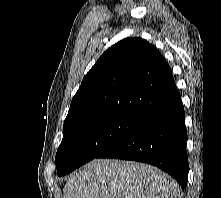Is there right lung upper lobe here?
Returning a JSON list of instances; mask_svg holds the SVG:
<instances>
[{
	"label": "right lung upper lobe",
	"mask_w": 221,
	"mask_h": 198,
	"mask_svg": "<svg viewBox=\"0 0 221 198\" xmlns=\"http://www.w3.org/2000/svg\"><path fill=\"white\" fill-rule=\"evenodd\" d=\"M176 91L160 52L144 39L126 38L109 48L84 77L63 133L111 115L142 118Z\"/></svg>",
	"instance_id": "right-lung-upper-lobe-1"
}]
</instances>
